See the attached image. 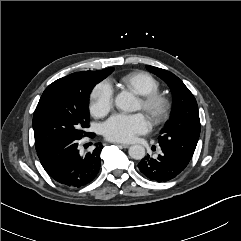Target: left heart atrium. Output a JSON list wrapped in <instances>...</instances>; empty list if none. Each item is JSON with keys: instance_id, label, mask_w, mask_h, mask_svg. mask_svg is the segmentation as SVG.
<instances>
[{"instance_id": "1", "label": "left heart atrium", "mask_w": 241, "mask_h": 241, "mask_svg": "<svg viewBox=\"0 0 241 241\" xmlns=\"http://www.w3.org/2000/svg\"><path fill=\"white\" fill-rule=\"evenodd\" d=\"M150 127V121L142 113L115 114L103 124V134L110 141L125 143L146 133Z\"/></svg>"}]
</instances>
